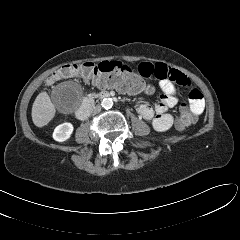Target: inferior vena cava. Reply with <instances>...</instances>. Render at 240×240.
Returning <instances> with one entry per match:
<instances>
[{"instance_id": "obj_1", "label": "inferior vena cava", "mask_w": 240, "mask_h": 240, "mask_svg": "<svg viewBox=\"0 0 240 240\" xmlns=\"http://www.w3.org/2000/svg\"><path fill=\"white\" fill-rule=\"evenodd\" d=\"M101 111V106H94L91 110H90V112L91 113H93V114H97V113H99Z\"/></svg>"}]
</instances>
